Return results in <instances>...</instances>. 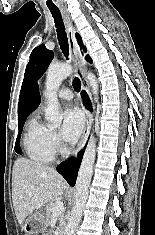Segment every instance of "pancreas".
Listing matches in <instances>:
<instances>
[{
    "label": "pancreas",
    "mask_w": 155,
    "mask_h": 235,
    "mask_svg": "<svg viewBox=\"0 0 155 235\" xmlns=\"http://www.w3.org/2000/svg\"><path fill=\"white\" fill-rule=\"evenodd\" d=\"M54 204L55 202H51L47 207H46V224H50L51 222V219L53 217V214H52V209L54 207ZM58 221H59V227H62L63 226V223H64V219H63V216H58Z\"/></svg>",
    "instance_id": "pancreas-1"
}]
</instances>
